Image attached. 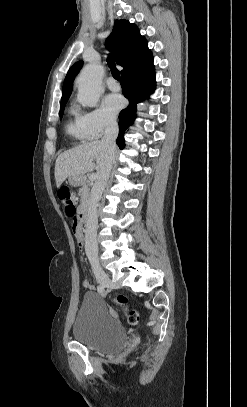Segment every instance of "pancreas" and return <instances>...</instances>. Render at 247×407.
<instances>
[{
	"label": "pancreas",
	"instance_id": "1",
	"mask_svg": "<svg viewBox=\"0 0 247 407\" xmlns=\"http://www.w3.org/2000/svg\"><path fill=\"white\" fill-rule=\"evenodd\" d=\"M89 186L90 184H84L82 188L79 189V193L81 196V206H85L89 200Z\"/></svg>",
	"mask_w": 247,
	"mask_h": 407
}]
</instances>
